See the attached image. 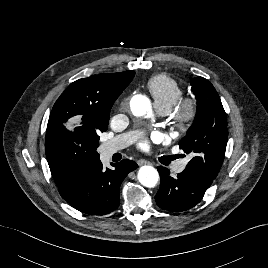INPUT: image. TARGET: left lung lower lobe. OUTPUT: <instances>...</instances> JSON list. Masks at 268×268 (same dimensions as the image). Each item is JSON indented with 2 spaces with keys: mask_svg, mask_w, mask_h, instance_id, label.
<instances>
[{
  "mask_svg": "<svg viewBox=\"0 0 268 268\" xmlns=\"http://www.w3.org/2000/svg\"><path fill=\"white\" fill-rule=\"evenodd\" d=\"M161 184L155 196L159 207L169 211H184L198 204L211 182L200 175L184 170L176 178L170 176V171L164 167H157Z\"/></svg>",
  "mask_w": 268,
  "mask_h": 268,
  "instance_id": "0a47b994",
  "label": "left lung lower lobe"
}]
</instances>
